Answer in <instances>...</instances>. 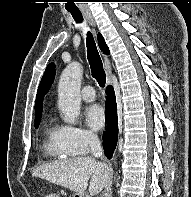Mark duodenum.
<instances>
[{
    "mask_svg": "<svg viewBox=\"0 0 191 197\" xmlns=\"http://www.w3.org/2000/svg\"><path fill=\"white\" fill-rule=\"evenodd\" d=\"M75 197H82L81 195H76Z\"/></svg>",
    "mask_w": 191,
    "mask_h": 197,
    "instance_id": "obj_1",
    "label": "duodenum"
}]
</instances>
